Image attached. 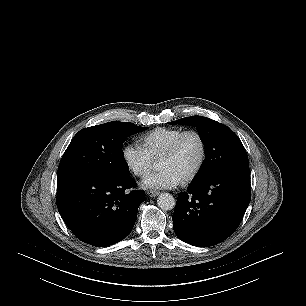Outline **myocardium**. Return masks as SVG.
Instances as JSON below:
<instances>
[{
  "mask_svg": "<svg viewBox=\"0 0 306 306\" xmlns=\"http://www.w3.org/2000/svg\"><path fill=\"white\" fill-rule=\"evenodd\" d=\"M189 135H194L199 140L200 145H201V156H200L199 162L197 166L195 167V169L187 177H185L182 180L183 183H188V182L193 181L200 174V172L202 171L204 167L206 157H207V143L203 135L197 130H187V131L182 132L173 141L170 147L164 152V154L160 158V161H161V160L173 157L176 154L177 150L179 149L182 141Z\"/></svg>",
  "mask_w": 306,
  "mask_h": 306,
  "instance_id": "myocardium-1",
  "label": "myocardium"
}]
</instances>
